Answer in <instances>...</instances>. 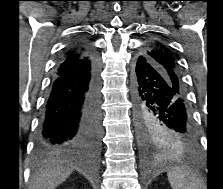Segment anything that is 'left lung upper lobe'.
<instances>
[{
	"mask_svg": "<svg viewBox=\"0 0 223 189\" xmlns=\"http://www.w3.org/2000/svg\"><path fill=\"white\" fill-rule=\"evenodd\" d=\"M138 60H144L154 65L183 89L178 64L173 53L163 43L159 41L148 42ZM139 134L141 141L146 146L177 149L190 147L183 145L171 131L160 125H151L147 129L140 130Z\"/></svg>",
	"mask_w": 223,
	"mask_h": 189,
	"instance_id": "5c2ea615",
	"label": "left lung upper lobe"
}]
</instances>
